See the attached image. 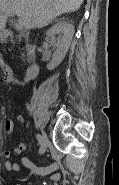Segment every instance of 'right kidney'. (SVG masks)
<instances>
[{"label":"right kidney","instance_id":"obj_1","mask_svg":"<svg viewBox=\"0 0 119 185\" xmlns=\"http://www.w3.org/2000/svg\"><path fill=\"white\" fill-rule=\"evenodd\" d=\"M46 35L49 43L56 48L50 63L47 65L48 70H53L62 62L68 52L74 35V26L69 22L61 21L51 27ZM56 35L59 37L56 38Z\"/></svg>","mask_w":119,"mask_h":185}]
</instances>
